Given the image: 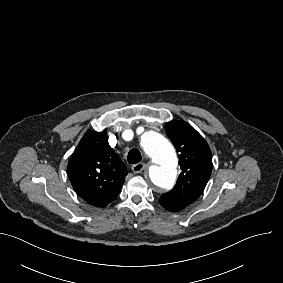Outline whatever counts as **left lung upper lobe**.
<instances>
[{
	"label": "left lung upper lobe",
	"instance_id": "1",
	"mask_svg": "<svg viewBox=\"0 0 283 283\" xmlns=\"http://www.w3.org/2000/svg\"><path fill=\"white\" fill-rule=\"evenodd\" d=\"M165 130L179 153L182 171L174 188L162 194L159 202L167 210L177 212L203 192L212 171V155L205 139L187 122L173 120L165 125Z\"/></svg>",
	"mask_w": 283,
	"mask_h": 283
}]
</instances>
